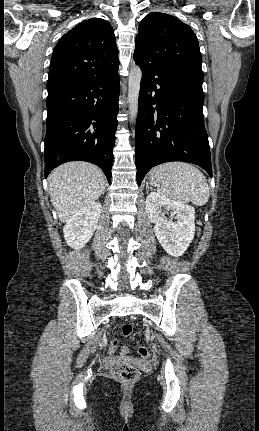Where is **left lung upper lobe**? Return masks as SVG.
<instances>
[{"label":"left lung upper lobe","mask_w":259,"mask_h":431,"mask_svg":"<svg viewBox=\"0 0 259 431\" xmlns=\"http://www.w3.org/2000/svg\"><path fill=\"white\" fill-rule=\"evenodd\" d=\"M134 56L177 76L202 84V56L196 35L178 18L152 12L142 19Z\"/></svg>","instance_id":"1"}]
</instances>
